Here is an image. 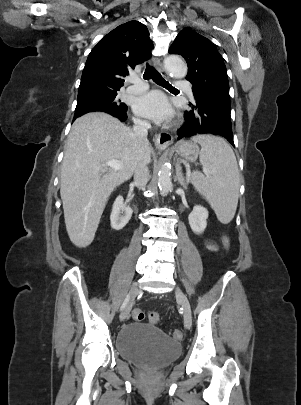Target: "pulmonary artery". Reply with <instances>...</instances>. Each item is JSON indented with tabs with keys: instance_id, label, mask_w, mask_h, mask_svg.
<instances>
[{
	"instance_id": "pulmonary-artery-1",
	"label": "pulmonary artery",
	"mask_w": 301,
	"mask_h": 405,
	"mask_svg": "<svg viewBox=\"0 0 301 405\" xmlns=\"http://www.w3.org/2000/svg\"><path fill=\"white\" fill-rule=\"evenodd\" d=\"M131 85L127 88V92L130 94H140L148 89V85L141 81L139 78H130ZM176 87L186 91L188 94L192 95V88L190 84L186 81H177Z\"/></svg>"
}]
</instances>
